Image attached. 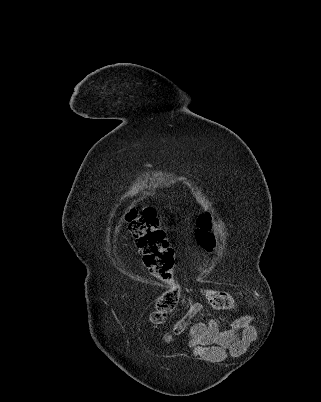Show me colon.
Wrapping results in <instances>:
<instances>
[{
    "label": "colon",
    "mask_w": 321,
    "mask_h": 402,
    "mask_svg": "<svg viewBox=\"0 0 321 402\" xmlns=\"http://www.w3.org/2000/svg\"><path fill=\"white\" fill-rule=\"evenodd\" d=\"M126 221L146 267L156 278L169 286L156 299L151 316L155 325H163L179 303V289L171 286L175 262L174 249L164 230L159 226V218L154 208L131 209L126 214ZM195 237L201 248L207 252L214 250L216 239L212 232L210 213L206 212L198 217ZM202 293L207 295L210 305L216 310L230 311L236 306L233 295L228 291L204 288Z\"/></svg>",
    "instance_id": "colon-1"
}]
</instances>
